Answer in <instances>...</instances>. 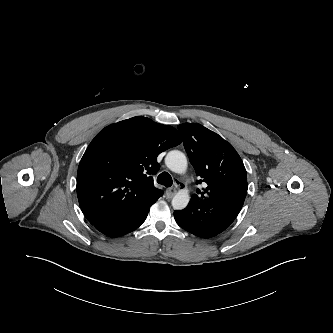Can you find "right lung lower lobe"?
Returning <instances> with one entry per match:
<instances>
[{
  "label": "right lung lower lobe",
  "instance_id": "right-lung-lower-lobe-1",
  "mask_svg": "<svg viewBox=\"0 0 333 333\" xmlns=\"http://www.w3.org/2000/svg\"><path fill=\"white\" fill-rule=\"evenodd\" d=\"M149 209L150 207L128 217L96 221L92 224L107 236L119 237L138 228L145 221Z\"/></svg>",
  "mask_w": 333,
  "mask_h": 333
}]
</instances>
